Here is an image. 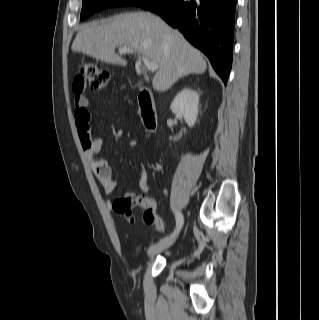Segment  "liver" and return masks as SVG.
<instances>
[{"label":"liver","mask_w":319,"mask_h":320,"mask_svg":"<svg viewBox=\"0 0 319 320\" xmlns=\"http://www.w3.org/2000/svg\"><path fill=\"white\" fill-rule=\"evenodd\" d=\"M118 46L128 47L157 63L152 85L159 92L167 91L181 77L202 74L207 68L202 54L178 30L148 12L125 13L87 23L79 29L71 49L125 66L127 61L115 53Z\"/></svg>","instance_id":"6515ba94"}]
</instances>
